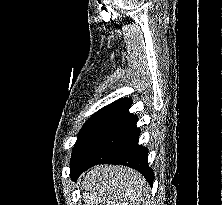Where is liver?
Listing matches in <instances>:
<instances>
[{
    "label": "liver",
    "mask_w": 222,
    "mask_h": 205,
    "mask_svg": "<svg viewBox=\"0 0 222 205\" xmlns=\"http://www.w3.org/2000/svg\"><path fill=\"white\" fill-rule=\"evenodd\" d=\"M84 205H151L150 187L136 170L98 165L82 182Z\"/></svg>",
    "instance_id": "6515ba94"
}]
</instances>
